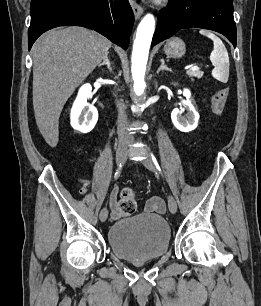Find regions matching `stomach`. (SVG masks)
<instances>
[{"label": "stomach", "mask_w": 261, "mask_h": 306, "mask_svg": "<svg viewBox=\"0 0 261 306\" xmlns=\"http://www.w3.org/2000/svg\"><path fill=\"white\" fill-rule=\"evenodd\" d=\"M164 52L168 57L179 58L186 52V46L182 39L173 37L164 46Z\"/></svg>", "instance_id": "stomach-1"}]
</instances>
